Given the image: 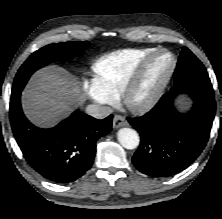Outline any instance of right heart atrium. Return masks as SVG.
Wrapping results in <instances>:
<instances>
[{
	"mask_svg": "<svg viewBox=\"0 0 222 219\" xmlns=\"http://www.w3.org/2000/svg\"><path fill=\"white\" fill-rule=\"evenodd\" d=\"M82 89L84 92H86L95 102H97L100 105H109L113 101H109L104 96L99 95L93 88L92 84L88 82H84L82 84Z\"/></svg>",
	"mask_w": 222,
	"mask_h": 219,
	"instance_id": "obj_1",
	"label": "right heart atrium"
}]
</instances>
